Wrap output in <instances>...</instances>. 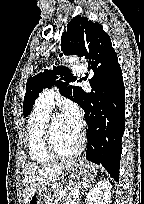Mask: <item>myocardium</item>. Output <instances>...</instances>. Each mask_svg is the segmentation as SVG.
<instances>
[{"instance_id":"myocardium-1","label":"myocardium","mask_w":144,"mask_h":204,"mask_svg":"<svg viewBox=\"0 0 144 204\" xmlns=\"http://www.w3.org/2000/svg\"><path fill=\"white\" fill-rule=\"evenodd\" d=\"M59 116H62V115L59 113H54V114H50L49 117L47 118L45 129H44L45 145L49 153L53 155L55 158H58V159L73 158L82 151L84 139H83V136L80 134L79 140L74 150L70 152L61 151L56 144L55 137H54V130H53L54 121Z\"/></svg>"}]
</instances>
